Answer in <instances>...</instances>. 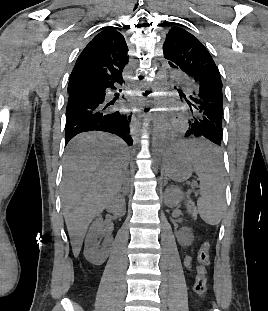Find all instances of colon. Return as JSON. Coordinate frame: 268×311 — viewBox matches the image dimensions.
I'll list each match as a JSON object with an SVG mask.
<instances>
[{
  "label": "colon",
  "instance_id": "obj_1",
  "mask_svg": "<svg viewBox=\"0 0 268 311\" xmlns=\"http://www.w3.org/2000/svg\"><path fill=\"white\" fill-rule=\"evenodd\" d=\"M198 266L196 271L194 292L198 297H203L207 289V266L210 264V245L208 242H204L197 255Z\"/></svg>",
  "mask_w": 268,
  "mask_h": 311
}]
</instances>
